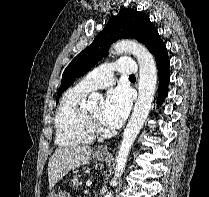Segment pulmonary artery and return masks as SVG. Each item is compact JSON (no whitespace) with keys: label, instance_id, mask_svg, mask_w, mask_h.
<instances>
[{"label":"pulmonary artery","instance_id":"obj_1","mask_svg":"<svg viewBox=\"0 0 209 197\" xmlns=\"http://www.w3.org/2000/svg\"><path fill=\"white\" fill-rule=\"evenodd\" d=\"M114 72L134 74L137 72V66L131 57H122L113 63H105L94 69L82 78L79 85L88 90L108 87L114 83Z\"/></svg>","mask_w":209,"mask_h":197}]
</instances>
